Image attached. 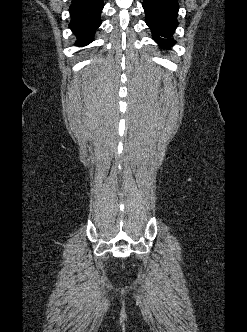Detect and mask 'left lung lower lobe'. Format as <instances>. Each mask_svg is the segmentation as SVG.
I'll return each mask as SVG.
<instances>
[{
  "label": "left lung lower lobe",
  "mask_w": 247,
  "mask_h": 332,
  "mask_svg": "<svg viewBox=\"0 0 247 332\" xmlns=\"http://www.w3.org/2000/svg\"><path fill=\"white\" fill-rule=\"evenodd\" d=\"M146 24L150 27L153 39L161 48H168L176 42L170 38L178 26L177 0H143Z\"/></svg>",
  "instance_id": "obj_1"
}]
</instances>
